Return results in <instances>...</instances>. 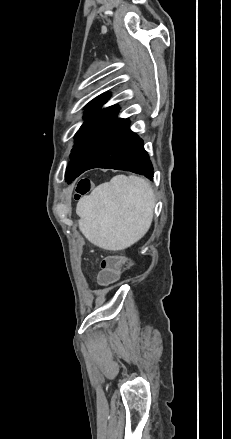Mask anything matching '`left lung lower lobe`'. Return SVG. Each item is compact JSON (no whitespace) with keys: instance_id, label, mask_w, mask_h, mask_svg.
<instances>
[{"instance_id":"0a47b994","label":"left lung lower lobe","mask_w":231,"mask_h":439,"mask_svg":"<svg viewBox=\"0 0 231 439\" xmlns=\"http://www.w3.org/2000/svg\"><path fill=\"white\" fill-rule=\"evenodd\" d=\"M129 124L128 119L123 120L84 171L93 168H110L153 178L152 164L143 147V141L130 130Z\"/></svg>"}]
</instances>
